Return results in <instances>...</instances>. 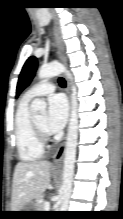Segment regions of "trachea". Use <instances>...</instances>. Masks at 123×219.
<instances>
[{
  "mask_svg": "<svg viewBox=\"0 0 123 219\" xmlns=\"http://www.w3.org/2000/svg\"><path fill=\"white\" fill-rule=\"evenodd\" d=\"M58 82H59V85L61 87H65L66 86V81L64 80V78L60 77Z\"/></svg>",
  "mask_w": 123,
  "mask_h": 219,
  "instance_id": "3493384b",
  "label": "trachea"
}]
</instances>
